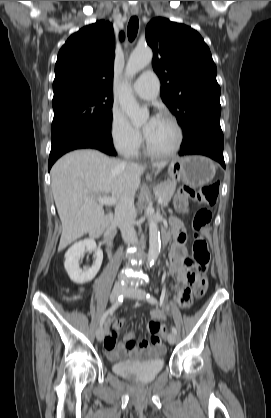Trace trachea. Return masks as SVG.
Segmentation results:
<instances>
[{"label": "trachea", "instance_id": "1", "mask_svg": "<svg viewBox=\"0 0 271 418\" xmlns=\"http://www.w3.org/2000/svg\"><path fill=\"white\" fill-rule=\"evenodd\" d=\"M138 27H139V20L136 16L131 17L129 24H128V28H127V35H128V39L129 41H133L137 35L138 32Z\"/></svg>", "mask_w": 271, "mask_h": 418}]
</instances>
